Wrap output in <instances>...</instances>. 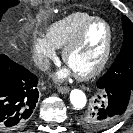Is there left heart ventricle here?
I'll return each mask as SVG.
<instances>
[{"label":"left heart ventricle","mask_w":133,"mask_h":133,"mask_svg":"<svg viewBox=\"0 0 133 133\" xmlns=\"http://www.w3.org/2000/svg\"><path fill=\"white\" fill-rule=\"evenodd\" d=\"M107 37V28L104 24H93L81 44L70 54L68 67L74 73H85L94 68L103 56Z\"/></svg>","instance_id":"left-heart-ventricle-1"}]
</instances>
